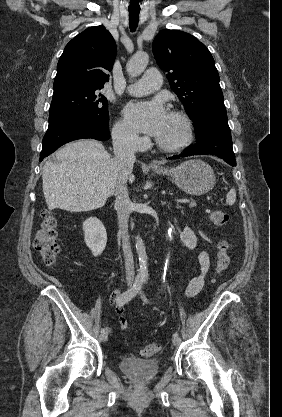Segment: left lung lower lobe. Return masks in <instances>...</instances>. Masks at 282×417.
Masks as SVG:
<instances>
[{
  "label": "left lung lower lobe",
  "mask_w": 282,
  "mask_h": 417,
  "mask_svg": "<svg viewBox=\"0 0 282 417\" xmlns=\"http://www.w3.org/2000/svg\"><path fill=\"white\" fill-rule=\"evenodd\" d=\"M194 126L197 144L189 146L182 154L168 159L211 154L222 158L232 166L236 165L226 109L205 112Z\"/></svg>",
  "instance_id": "1"
}]
</instances>
